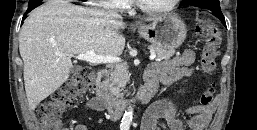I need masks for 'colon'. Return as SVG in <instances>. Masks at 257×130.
<instances>
[{
	"instance_id": "1",
	"label": "colon",
	"mask_w": 257,
	"mask_h": 130,
	"mask_svg": "<svg viewBox=\"0 0 257 130\" xmlns=\"http://www.w3.org/2000/svg\"><path fill=\"white\" fill-rule=\"evenodd\" d=\"M199 29L206 36V43L202 51L200 65L205 74H212L216 70L217 49L221 43L220 31L209 22L200 19ZM95 87V74L90 68L79 70L69 81L59 88L47 102L37 106L34 110L36 122L42 130H69L63 127L62 118L74 102ZM215 84H209L201 93L200 104L208 107L212 104Z\"/></svg>"
}]
</instances>
